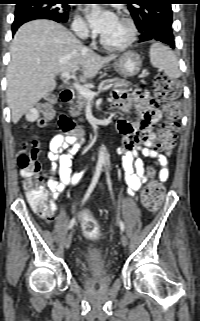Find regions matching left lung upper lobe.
<instances>
[{"mask_svg": "<svg viewBox=\"0 0 200 321\" xmlns=\"http://www.w3.org/2000/svg\"><path fill=\"white\" fill-rule=\"evenodd\" d=\"M174 0H125L140 32L154 27L172 30V8Z\"/></svg>", "mask_w": 200, "mask_h": 321, "instance_id": "1", "label": "left lung upper lobe"}]
</instances>
